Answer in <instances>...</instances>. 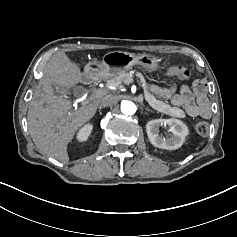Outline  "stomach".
Listing matches in <instances>:
<instances>
[{
	"instance_id": "1",
	"label": "stomach",
	"mask_w": 237,
	"mask_h": 237,
	"mask_svg": "<svg viewBox=\"0 0 237 237\" xmlns=\"http://www.w3.org/2000/svg\"><path fill=\"white\" fill-rule=\"evenodd\" d=\"M161 59L151 54L134 55L128 52L112 51L103 56L100 63H94L100 78L107 79L125 73L134 65H140L150 72L159 68Z\"/></svg>"
}]
</instances>
